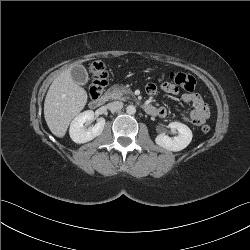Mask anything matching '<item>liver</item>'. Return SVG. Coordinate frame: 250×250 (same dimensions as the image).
Wrapping results in <instances>:
<instances>
[{
	"label": "liver",
	"mask_w": 250,
	"mask_h": 250,
	"mask_svg": "<svg viewBox=\"0 0 250 250\" xmlns=\"http://www.w3.org/2000/svg\"><path fill=\"white\" fill-rule=\"evenodd\" d=\"M73 66L57 76L49 87L44 102V117L50 131L62 138L71 120L87 103V92L71 76Z\"/></svg>",
	"instance_id": "6515ba94"
}]
</instances>
